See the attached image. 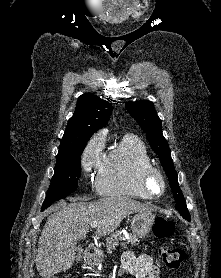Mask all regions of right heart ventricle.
Instances as JSON below:
<instances>
[{
	"instance_id": "e07e8e85",
	"label": "right heart ventricle",
	"mask_w": 221,
	"mask_h": 278,
	"mask_svg": "<svg viewBox=\"0 0 221 278\" xmlns=\"http://www.w3.org/2000/svg\"><path fill=\"white\" fill-rule=\"evenodd\" d=\"M149 164L151 157L144 142L134 135H126L104 154L96 173L95 187L105 196L148 198L138 185L137 172Z\"/></svg>"
}]
</instances>
